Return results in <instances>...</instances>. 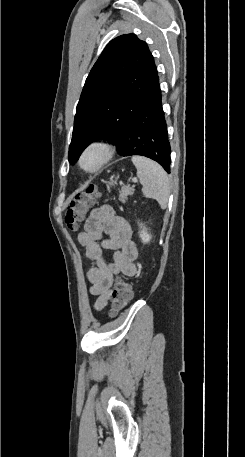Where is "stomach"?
Instances as JSON below:
<instances>
[{"label":"stomach","instance_id":"obj_1","mask_svg":"<svg viewBox=\"0 0 245 457\" xmlns=\"http://www.w3.org/2000/svg\"><path fill=\"white\" fill-rule=\"evenodd\" d=\"M115 184H117V180H109V182H107L106 186H107L108 190H110L111 186H115Z\"/></svg>","mask_w":245,"mask_h":457}]
</instances>
